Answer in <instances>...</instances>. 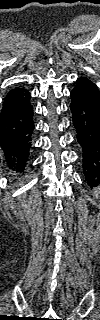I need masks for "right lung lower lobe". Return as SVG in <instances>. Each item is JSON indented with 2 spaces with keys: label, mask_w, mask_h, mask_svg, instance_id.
<instances>
[{
  "label": "right lung lower lobe",
  "mask_w": 100,
  "mask_h": 320,
  "mask_svg": "<svg viewBox=\"0 0 100 320\" xmlns=\"http://www.w3.org/2000/svg\"><path fill=\"white\" fill-rule=\"evenodd\" d=\"M30 93L7 95L0 112V145L8 167L22 172L29 160L34 131Z\"/></svg>",
  "instance_id": "1"
}]
</instances>
